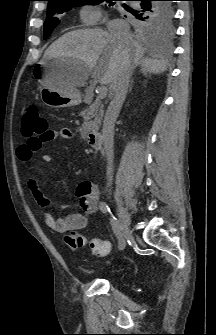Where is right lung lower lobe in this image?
Instances as JSON below:
<instances>
[{
	"label": "right lung lower lobe",
	"instance_id": "1",
	"mask_svg": "<svg viewBox=\"0 0 216 335\" xmlns=\"http://www.w3.org/2000/svg\"><path fill=\"white\" fill-rule=\"evenodd\" d=\"M134 1V0H133ZM140 1V7L135 11L139 14V19L146 22L155 17L159 18L162 22L172 23L173 10H163L159 8V4L162 2H168L167 0H135ZM126 8V5H124Z\"/></svg>",
	"mask_w": 216,
	"mask_h": 335
}]
</instances>
